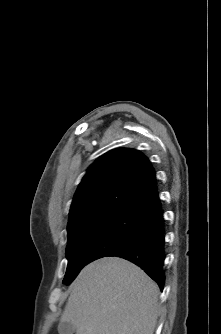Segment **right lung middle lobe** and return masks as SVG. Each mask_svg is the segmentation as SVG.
<instances>
[{
  "instance_id": "dd1d6c3e",
  "label": "right lung middle lobe",
  "mask_w": 221,
  "mask_h": 334,
  "mask_svg": "<svg viewBox=\"0 0 221 334\" xmlns=\"http://www.w3.org/2000/svg\"><path fill=\"white\" fill-rule=\"evenodd\" d=\"M140 215L104 213L79 222L68 232V266L63 283L72 282L88 263L113 251L137 226Z\"/></svg>"
}]
</instances>
